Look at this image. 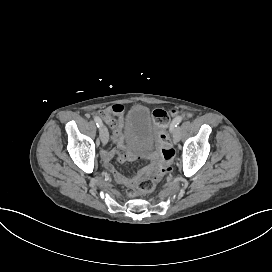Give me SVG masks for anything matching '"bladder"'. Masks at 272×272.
<instances>
[{
    "instance_id": "bladder-1",
    "label": "bladder",
    "mask_w": 272,
    "mask_h": 272,
    "mask_svg": "<svg viewBox=\"0 0 272 272\" xmlns=\"http://www.w3.org/2000/svg\"><path fill=\"white\" fill-rule=\"evenodd\" d=\"M128 137L142 143L152 141V129L155 126L154 116L147 105H134L125 114Z\"/></svg>"
}]
</instances>
